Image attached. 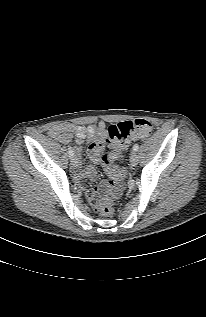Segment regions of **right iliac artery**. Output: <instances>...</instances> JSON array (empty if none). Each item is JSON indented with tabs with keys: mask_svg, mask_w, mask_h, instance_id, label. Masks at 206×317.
<instances>
[{
	"mask_svg": "<svg viewBox=\"0 0 206 317\" xmlns=\"http://www.w3.org/2000/svg\"><path fill=\"white\" fill-rule=\"evenodd\" d=\"M68 154H69V157H70V158H73V157H74V153H73L72 147H69Z\"/></svg>",
	"mask_w": 206,
	"mask_h": 317,
	"instance_id": "right-iliac-artery-1",
	"label": "right iliac artery"
}]
</instances>
